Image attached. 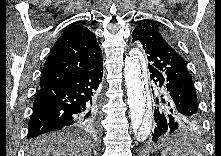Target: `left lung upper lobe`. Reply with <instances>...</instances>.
Wrapping results in <instances>:
<instances>
[{
    "instance_id": "obj_1",
    "label": "left lung upper lobe",
    "mask_w": 221,
    "mask_h": 156,
    "mask_svg": "<svg viewBox=\"0 0 221 156\" xmlns=\"http://www.w3.org/2000/svg\"><path fill=\"white\" fill-rule=\"evenodd\" d=\"M132 37L133 42L142 44L149 61V70H158L166 77L169 96L177 107L200 119L192 78L171 39L150 20L139 22Z\"/></svg>"
}]
</instances>
